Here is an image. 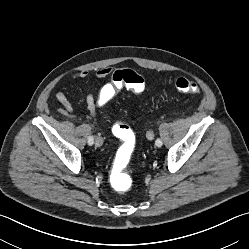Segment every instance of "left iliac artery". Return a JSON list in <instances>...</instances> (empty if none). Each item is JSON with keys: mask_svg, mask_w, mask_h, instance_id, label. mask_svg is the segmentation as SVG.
I'll return each mask as SVG.
<instances>
[{"mask_svg": "<svg viewBox=\"0 0 249 249\" xmlns=\"http://www.w3.org/2000/svg\"><path fill=\"white\" fill-rule=\"evenodd\" d=\"M155 145L157 147H161L162 146V141L158 138L156 141H155Z\"/></svg>", "mask_w": 249, "mask_h": 249, "instance_id": "44dca946", "label": "left iliac artery"}]
</instances>
